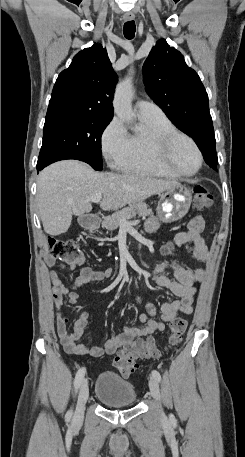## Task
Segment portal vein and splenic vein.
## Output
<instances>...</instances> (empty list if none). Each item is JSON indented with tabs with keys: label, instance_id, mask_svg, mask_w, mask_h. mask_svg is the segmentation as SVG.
<instances>
[{
	"label": "portal vein and splenic vein",
	"instance_id": "18ae733b",
	"mask_svg": "<svg viewBox=\"0 0 245 457\" xmlns=\"http://www.w3.org/2000/svg\"><path fill=\"white\" fill-rule=\"evenodd\" d=\"M102 198V192H97V194H95V196H91V198H88V200H92V202H100ZM123 220H125V218H123Z\"/></svg>",
	"mask_w": 245,
	"mask_h": 457
}]
</instances>
